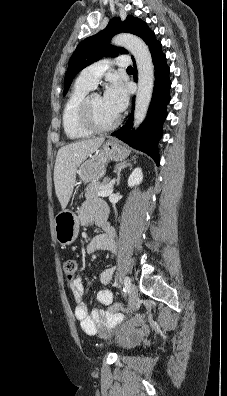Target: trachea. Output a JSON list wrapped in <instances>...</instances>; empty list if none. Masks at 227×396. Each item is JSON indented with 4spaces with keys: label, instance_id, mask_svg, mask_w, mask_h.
<instances>
[{
    "label": "trachea",
    "instance_id": "1",
    "mask_svg": "<svg viewBox=\"0 0 227 396\" xmlns=\"http://www.w3.org/2000/svg\"><path fill=\"white\" fill-rule=\"evenodd\" d=\"M127 71H133V68H132L131 66H129V67L127 68Z\"/></svg>",
    "mask_w": 227,
    "mask_h": 396
}]
</instances>
